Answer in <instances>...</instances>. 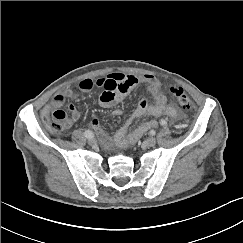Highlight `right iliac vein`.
Here are the masks:
<instances>
[{"mask_svg": "<svg viewBox=\"0 0 243 243\" xmlns=\"http://www.w3.org/2000/svg\"><path fill=\"white\" fill-rule=\"evenodd\" d=\"M88 143H89L90 145H94V144L96 143V139L93 138V137H91V138L88 139Z\"/></svg>", "mask_w": 243, "mask_h": 243, "instance_id": "obj_1", "label": "right iliac vein"}]
</instances>
